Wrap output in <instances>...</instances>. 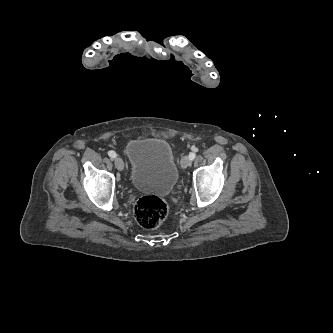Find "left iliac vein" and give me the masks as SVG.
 I'll return each instance as SVG.
<instances>
[{
	"mask_svg": "<svg viewBox=\"0 0 333 333\" xmlns=\"http://www.w3.org/2000/svg\"><path fill=\"white\" fill-rule=\"evenodd\" d=\"M190 165H191V161L189 159V156H183L181 159V167L187 168Z\"/></svg>",
	"mask_w": 333,
	"mask_h": 333,
	"instance_id": "obj_1",
	"label": "left iliac vein"
}]
</instances>
